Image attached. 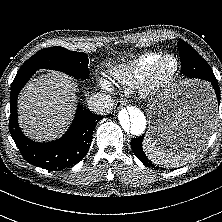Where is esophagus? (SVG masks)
Listing matches in <instances>:
<instances>
[{
  "mask_svg": "<svg viewBox=\"0 0 222 222\" xmlns=\"http://www.w3.org/2000/svg\"><path fill=\"white\" fill-rule=\"evenodd\" d=\"M125 105H126L125 100H119V101H117L116 104H115V109L118 110V109L122 108V107L125 106Z\"/></svg>",
  "mask_w": 222,
  "mask_h": 222,
  "instance_id": "1",
  "label": "esophagus"
}]
</instances>
